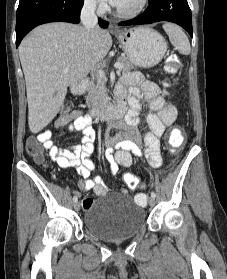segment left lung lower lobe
I'll list each match as a JSON object with an SVG mask.
<instances>
[{
  "instance_id": "0a47b994",
  "label": "left lung lower lobe",
  "mask_w": 227,
  "mask_h": 279,
  "mask_svg": "<svg viewBox=\"0 0 227 279\" xmlns=\"http://www.w3.org/2000/svg\"><path fill=\"white\" fill-rule=\"evenodd\" d=\"M170 21L182 26L192 37V17L187 0H149V6L138 17L120 22V26Z\"/></svg>"
}]
</instances>
